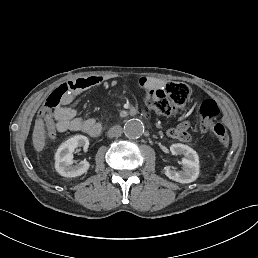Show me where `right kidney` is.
<instances>
[{
    "label": "right kidney",
    "instance_id": "obj_1",
    "mask_svg": "<svg viewBox=\"0 0 258 258\" xmlns=\"http://www.w3.org/2000/svg\"><path fill=\"white\" fill-rule=\"evenodd\" d=\"M77 147H81L86 152L89 147V139L84 135H74L57 149L55 153V168L60 175L76 177L88 169L89 163L85 159L78 162L73 161L74 150Z\"/></svg>",
    "mask_w": 258,
    "mask_h": 258
}]
</instances>
